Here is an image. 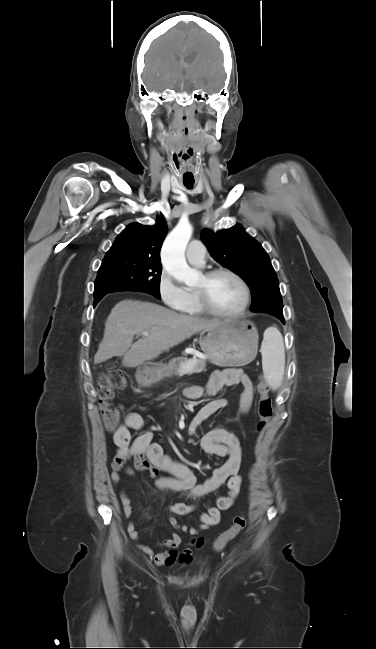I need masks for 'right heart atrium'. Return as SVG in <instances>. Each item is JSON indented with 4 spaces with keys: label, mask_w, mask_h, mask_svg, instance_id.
Returning a JSON list of instances; mask_svg holds the SVG:
<instances>
[{
    "label": "right heart atrium",
    "mask_w": 376,
    "mask_h": 649,
    "mask_svg": "<svg viewBox=\"0 0 376 649\" xmlns=\"http://www.w3.org/2000/svg\"><path fill=\"white\" fill-rule=\"evenodd\" d=\"M161 300L170 308L180 309L186 299V290L166 270L162 269L157 283Z\"/></svg>",
    "instance_id": "1"
}]
</instances>
